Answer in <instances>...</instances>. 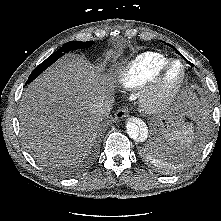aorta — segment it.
<instances>
[{
    "instance_id": "762f6f07",
    "label": "aorta",
    "mask_w": 221,
    "mask_h": 221,
    "mask_svg": "<svg viewBox=\"0 0 221 221\" xmlns=\"http://www.w3.org/2000/svg\"><path fill=\"white\" fill-rule=\"evenodd\" d=\"M126 132L133 140L143 142L148 137V128L143 122H128L126 124Z\"/></svg>"
}]
</instances>
